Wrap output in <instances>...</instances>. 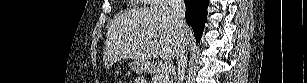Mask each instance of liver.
<instances>
[{"mask_svg":"<svg viewBox=\"0 0 307 83\" xmlns=\"http://www.w3.org/2000/svg\"><path fill=\"white\" fill-rule=\"evenodd\" d=\"M186 44L192 38L189 26L185 28ZM180 47L178 25L171 8L133 10L114 19L105 43L104 62L109 68L121 59H134L150 67L158 58L174 59Z\"/></svg>","mask_w":307,"mask_h":83,"instance_id":"liver-1","label":"liver"}]
</instances>
